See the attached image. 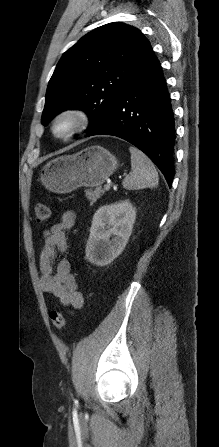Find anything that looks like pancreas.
<instances>
[{
	"instance_id": "pancreas-1",
	"label": "pancreas",
	"mask_w": 219,
	"mask_h": 447,
	"mask_svg": "<svg viewBox=\"0 0 219 447\" xmlns=\"http://www.w3.org/2000/svg\"><path fill=\"white\" fill-rule=\"evenodd\" d=\"M85 193L87 199L90 200L91 203H95L97 199L105 193V191L101 187H97L95 190L87 189Z\"/></svg>"
}]
</instances>
